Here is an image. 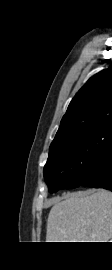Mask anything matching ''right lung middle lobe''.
<instances>
[{
  "label": "right lung middle lobe",
  "instance_id": "1",
  "mask_svg": "<svg viewBox=\"0 0 112 270\" xmlns=\"http://www.w3.org/2000/svg\"><path fill=\"white\" fill-rule=\"evenodd\" d=\"M111 144L110 121L51 147L43 171L49 192L80 186L91 163Z\"/></svg>",
  "mask_w": 112,
  "mask_h": 270
}]
</instances>
